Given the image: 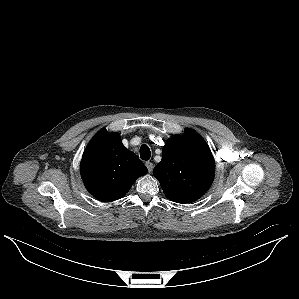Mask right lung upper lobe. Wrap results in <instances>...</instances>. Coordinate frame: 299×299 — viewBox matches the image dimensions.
<instances>
[{
	"instance_id": "right-lung-upper-lobe-1",
	"label": "right lung upper lobe",
	"mask_w": 299,
	"mask_h": 299,
	"mask_svg": "<svg viewBox=\"0 0 299 299\" xmlns=\"http://www.w3.org/2000/svg\"><path fill=\"white\" fill-rule=\"evenodd\" d=\"M80 171L85 187L95 198L112 202L122 198L148 170L124 147L119 134L101 130L84 151Z\"/></svg>"
}]
</instances>
